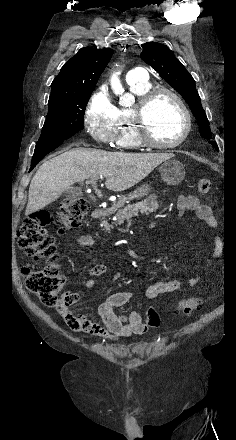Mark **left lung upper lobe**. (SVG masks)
Listing matches in <instances>:
<instances>
[{"mask_svg": "<svg viewBox=\"0 0 236 440\" xmlns=\"http://www.w3.org/2000/svg\"><path fill=\"white\" fill-rule=\"evenodd\" d=\"M141 47L143 49L142 60L154 68L168 84L181 94L198 121L201 136L205 139H211L208 120L191 74L167 46L157 42H149L142 44Z\"/></svg>", "mask_w": 236, "mask_h": 440, "instance_id": "left-lung-upper-lobe-1", "label": "left lung upper lobe"}]
</instances>
